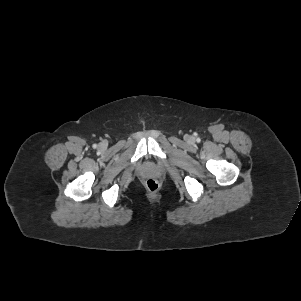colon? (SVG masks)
Wrapping results in <instances>:
<instances>
[{
	"instance_id": "5ec220e1",
	"label": "colon",
	"mask_w": 301,
	"mask_h": 301,
	"mask_svg": "<svg viewBox=\"0 0 301 301\" xmlns=\"http://www.w3.org/2000/svg\"><path fill=\"white\" fill-rule=\"evenodd\" d=\"M159 187H160V185H159L158 181L155 179H148L146 181V188L148 189V191H150L152 193L158 191Z\"/></svg>"
}]
</instances>
